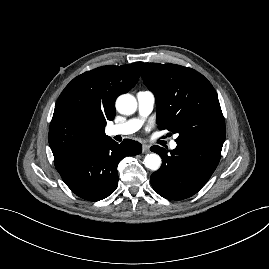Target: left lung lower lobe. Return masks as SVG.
Here are the masks:
<instances>
[{"label": "left lung lower lobe", "mask_w": 269, "mask_h": 269, "mask_svg": "<svg viewBox=\"0 0 269 269\" xmlns=\"http://www.w3.org/2000/svg\"><path fill=\"white\" fill-rule=\"evenodd\" d=\"M177 147L168 153L152 146L163 159L161 168L151 175L153 189L162 197L182 200L196 194L216 169L223 143L217 141H176Z\"/></svg>", "instance_id": "1"}]
</instances>
